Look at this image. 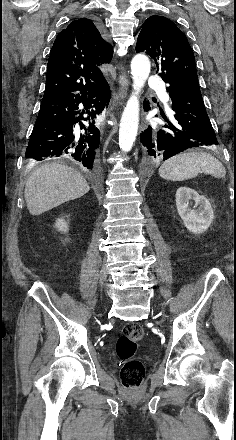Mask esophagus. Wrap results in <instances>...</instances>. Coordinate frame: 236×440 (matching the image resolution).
I'll return each instance as SVG.
<instances>
[{
    "label": "esophagus",
    "instance_id": "34e87169",
    "mask_svg": "<svg viewBox=\"0 0 236 440\" xmlns=\"http://www.w3.org/2000/svg\"><path fill=\"white\" fill-rule=\"evenodd\" d=\"M119 76H118V93L116 94V104L120 103L121 100L125 99L129 89V80L127 78L126 70L124 65L120 62L118 64ZM115 104V105H116Z\"/></svg>",
    "mask_w": 236,
    "mask_h": 440
}]
</instances>
